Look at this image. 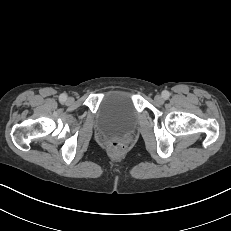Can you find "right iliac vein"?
Returning <instances> with one entry per match:
<instances>
[{"label": "right iliac vein", "mask_w": 231, "mask_h": 231, "mask_svg": "<svg viewBox=\"0 0 231 231\" xmlns=\"http://www.w3.org/2000/svg\"><path fill=\"white\" fill-rule=\"evenodd\" d=\"M73 101L72 98H68V102L71 103Z\"/></svg>", "instance_id": "obj_1"}]
</instances>
